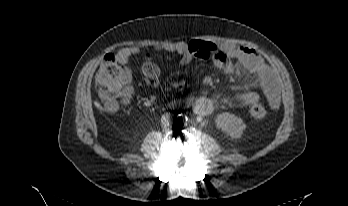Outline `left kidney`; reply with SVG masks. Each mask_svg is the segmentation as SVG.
<instances>
[{"instance_id": "obj_1", "label": "left kidney", "mask_w": 348, "mask_h": 206, "mask_svg": "<svg viewBox=\"0 0 348 206\" xmlns=\"http://www.w3.org/2000/svg\"><path fill=\"white\" fill-rule=\"evenodd\" d=\"M215 124L217 127L221 128L226 135L232 138H240L243 131L246 129V124L240 117L228 112L217 115Z\"/></svg>"}]
</instances>
